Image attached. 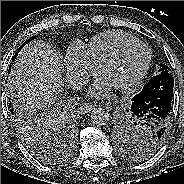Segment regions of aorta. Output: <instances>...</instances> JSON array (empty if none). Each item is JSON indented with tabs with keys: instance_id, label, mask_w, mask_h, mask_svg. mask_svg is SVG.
<instances>
[{
	"instance_id": "762f6f07",
	"label": "aorta",
	"mask_w": 184,
	"mask_h": 184,
	"mask_svg": "<svg viewBox=\"0 0 184 184\" xmlns=\"http://www.w3.org/2000/svg\"><path fill=\"white\" fill-rule=\"evenodd\" d=\"M91 121L96 126H103L109 121V113L102 107L91 111Z\"/></svg>"
}]
</instances>
